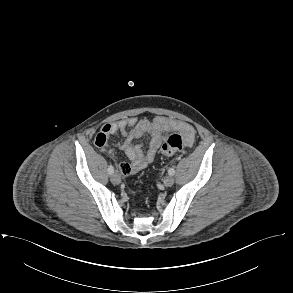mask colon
I'll use <instances>...</instances> for the list:
<instances>
[{
  "label": "colon",
  "mask_w": 293,
  "mask_h": 293,
  "mask_svg": "<svg viewBox=\"0 0 293 293\" xmlns=\"http://www.w3.org/2000/svg\"><path fill=\"white\" fill-rule=\"evenodd\" d=\"M160 150L164 155L182 154L186 151V144L180 134H173L162 144Z\"/></svg>",
  "instance_id": "colon-1"
}]
</instances>
